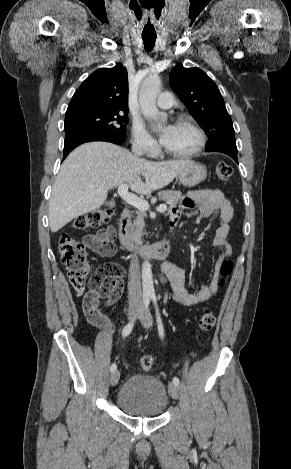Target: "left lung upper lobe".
<instances>
[{
    "label": "left lung upper lobe",
    "mask_w": 291,
    "mask_h": 469,
    "mask_svg": "<svg viewBox=\"0 0 291 469\" xmlns=\"http://www.w3.org/2000/svg\"><path fill=\"white\" fill-rule=\"evenodd\" d=\"M169 82L208 135L206 149L236 147L235 131L215 82L199 68L176 65Z\"/></svg>",
    "instance_id": "left-lung-upper-lobe-1"
}]
</instances>
